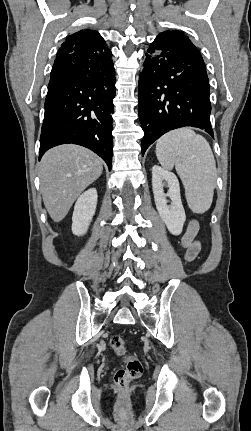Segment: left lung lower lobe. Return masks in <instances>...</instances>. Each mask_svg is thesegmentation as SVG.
<instances>
[{
	"label": "left lung lower lobe",
	"instance_id": "left-lung-lower-lobe-1",
	"mask_svg": "<svg viewBox=\"0 0 251 431\" xmlns=\"http://www.w3.org/2000/svg\"><path fill=\"white\" fill-rule=\"evenodd\" d=\"M145 55L139 78L142 155L176 128L198 127L213 137L209 79L196 46L185 35L160 33Z\"/></svg>",
	"mask_w": 251,
	"mask_h": 431
}]
</instances>
